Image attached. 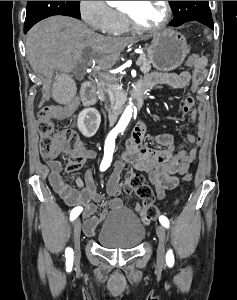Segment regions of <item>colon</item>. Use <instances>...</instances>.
<instances>
[{
    "label": "colon",
    "instance_id": "colon-1",
    "mask_svg": "<svg viewBox=\"0 0 237 300\" xmlns=\"http://www.w3.org/2000/svg\"><path fill=\"white\" fill-rule=\"evenodd\" d=\"M205 58L199 55H192L187 60L188 66H195L198 63H204ZM51 107H44L38 113V132L40 134V153L46 160H54L65 148L74 151L82 149L81 141L77 133L71 129L57 130L51 122ZM86 157L77 154L70 157L67 165V172H75L79 170L85 163ZM128 188L141 199L143 210L147 218L155 219L159 210L154 204V194L152 188L145 182L142 175L127 171L126 174ZM184 181L192 179L191 173L183 174Z\"/></svg>",
    "mask_w": 237,
    "mask_h": 300
}]
</instances>
